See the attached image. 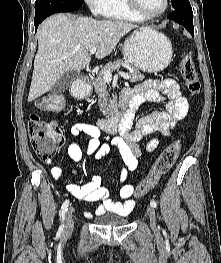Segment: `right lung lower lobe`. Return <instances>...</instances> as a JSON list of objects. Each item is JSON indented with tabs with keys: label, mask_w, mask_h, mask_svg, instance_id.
Listing matches in <instances>:
<instances>
[{
	"label": "right lung lower lobe",
	"mask_w": 221,
	"mask_h": 263,
	"mask_svg": "<svg viewBox=\"0 0 221 263\" xmlns=\"http://www.w3.org/2000/svg\"><path fill=\"white\" fill-rule=\"evenodd\" d=\"M80 7H74V8H65V9H57V10H53L38 16H35L34 19V25H35V30H37L38 25L48 16L54 14V13H60V12H71V11H75L77 9H79Z\"/></svg>",
	"instance_id": "1"
}]
</instances>
